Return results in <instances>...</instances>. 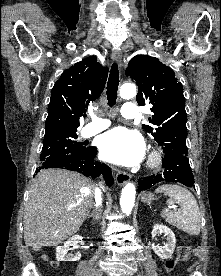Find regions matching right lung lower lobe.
Wrapping results in <instances>:
<instances>
[{
	"label": "right lung lower lobe",
	"instance_id": "1",
	"mask_svg": "<svg viewBox=\"0 0 221 276\" xmlns=\"http://www.w3.org/2000/svg\"><path fill=\"white\" fill-rule=\"evenodd\" d=\"M96 147H91L90 151L85 155L79 156H66L57 159H48L42 162L41 167L43 168H64L67 170L77 171L87 177L97 178L100 174H103L107 185L111 186L114 183L112 178L111 169L97 161H94L96 157ZM39 171V170H37Z\"/></svg>",
	"mask_w": 221,
	"mask_h": 276
}]
</instances>
